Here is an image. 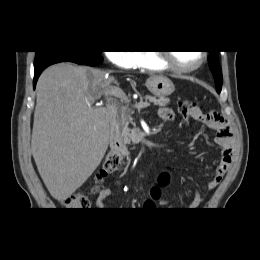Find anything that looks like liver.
Here are the masks:
<instances>
[{
	"instance_id": "6515ba94",
	"label": "liver",
	"mask_w": 260,
	"mask_h": 260,
	"mask_svg": "<svg viewBox=\"0 0 260 260\" xmlns=\"http://www.w3.org/2000/svg\"><path fill=\"white\" fill-rule=\"evenodd\" d=\"M106 76L97 68L58 63L38 79L31 150L44 184L58 201L86 182L108 148L107 110L93 106L115 82Z\"/></svg>"
}]
</instances>
